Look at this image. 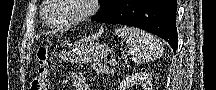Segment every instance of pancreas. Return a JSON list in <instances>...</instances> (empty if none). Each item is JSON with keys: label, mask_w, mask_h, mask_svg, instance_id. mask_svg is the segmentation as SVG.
<instances>
[{"label": "pancreas", "mask_w": 216, "mask_h": 90, "mask_svg": "<svg viewBox=\"0 0 216 90\" xmlns=\"http://www.w3.org/2000/svg\"><path fill=\"white\" fill-rule=\"evenodd\" d=\"M92 68L97 74H106L108 72V66H102V64H93Z\"/></svg>", "instance_id": "cf45deb5"}]
</instances>
